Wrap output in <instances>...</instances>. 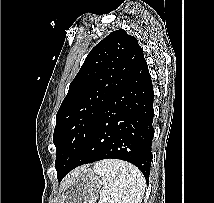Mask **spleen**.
I'll return each instance as SVG.
<instances>
[{"instance_id":"spleen-1","label":"spleen","mask_w":214,"mask_h":203,"mask_svg":"<svg viewBox=\"0 0 214 203\" xmlns=\"http://www.w3.org/2000/svg\"><path fill=\"white\" fill-rule=\"evenodd\" d=\"M93 170L103 179L99 203H141L145 179L138 168L119 160H103Z\"/></svg>"}]
</instances>
